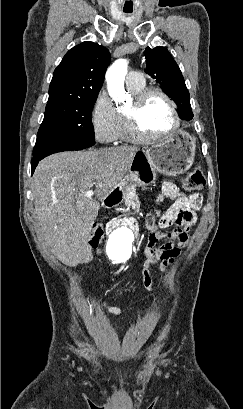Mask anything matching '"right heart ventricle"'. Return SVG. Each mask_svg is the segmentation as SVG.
<instances>
[{
  "label": "right heart ventricle",
  "mask_w": 243,
  "mask_h": 409,
  "mask_svg": "<svg viewBox=\"0 0 243 409\" xmlns=\"http://www.w3.org/2000/svg\"><path fill=\"white\" fill-rule=\"evenodd\" d=\"M127 87H128V90L133 95H136L137 93L141 92L144 89L145 84L137 86V87H132V86H127ZM120 116H121V132H120V138L119 139H121V140H130L131 136H130V134L128 132L125 119H124V117L122 115H120Z\"/></svg>",
  "instance_id": "obj_1"
}]
</instances>
